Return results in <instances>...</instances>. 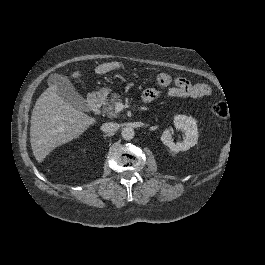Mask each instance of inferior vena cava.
Wrapping results in <instances>:
<instances>
[{
    "label": "inferior vena cava",
    "instance_id": "obj_1",
    "mask_svg": "<svg viewBox=\"0 0 265 265\" xmlns=\"http://www.w3.org/2000/svg\"><path fill=\"white\" fill-rule=\"evenodd\" d=\"M103 128L106 132L109 133H114L119 129V124L117 123H113V122H109V123H105L103 125Z\"/></svg>",
    "mask_w": 265,
    "mask_h": 265
}]
</instances>
